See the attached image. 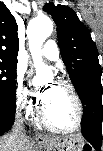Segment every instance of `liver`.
<instances>
[{
	"instance_id": "obj_1",
	"label": "liver",
	"mask_w": 103,
	"mask_h": 151,
	"mask_svg": "<svg viewBox=\"0 0 103 151\" xmlns=\"http://www.w3.org/2000/svg\"><path fill=\"white\" fill-rule=\"evenodd\" d=\"M1 151H28L30 144L23 134H7L1 137Z\"/></svg>"
}]
</instances>
